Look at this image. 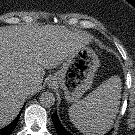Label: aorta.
I'll use <instances>...</instances> for the list:
<instances>
[{"label": "aorta", "mask_w": 135, "mask_h": 135, "mask_svg": "<svg viewBox=\"0 0 135 135\" xmlns=\"http://www.w3.org/2000/svg\"><path fill=\"white\" fill-rule=\"evenodd\" d=\"M39 99L40 104L43 107H51L55 103V96L51 92H43Z\"/></svg>", "instance_id": "aorta-1"}]
</instances>
